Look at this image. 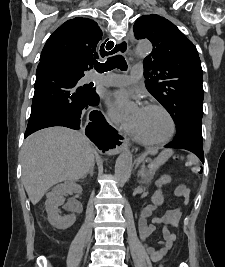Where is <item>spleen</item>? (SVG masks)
<instances>
[{
	"instance_id": "3e777b00",
	"label": "spleen",
	"mask_w": 225,
	"mask_h": 267,
	"mask_svg": "<svg viewBox=\"0 0 225 267\" xmlns=\"http://www.w3.org/2000/svg\"><path fill=\"white\" fill-rule=\"evenodd\" d=\"M189 158H190V160H192V161L195 162V163L198 162L197 159H196L194 156H192V155H191Z\"/></svg>"
}]
</instances>
